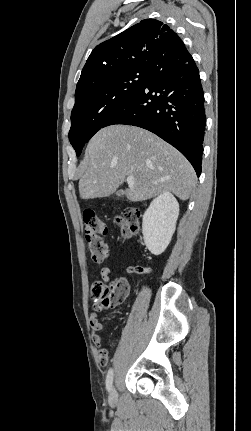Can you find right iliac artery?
<instances>
[{
	"label": "right iliac artery",
	"instance_id": "1",
	"mask_svg": "<svg viewBox=\"0 0 251 431\" xmlns=\"http://www.w3.org/2000/svg\"><path fill=\"white\" fill-rule=\"evenodd\" d=\"M112 382H113V369H109L106 377V388L108 391L111 390Z\"/></svg>",
	"mask_w": 251,
	"mask_h": 431
}]
</instances>
